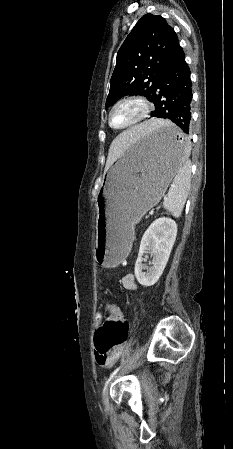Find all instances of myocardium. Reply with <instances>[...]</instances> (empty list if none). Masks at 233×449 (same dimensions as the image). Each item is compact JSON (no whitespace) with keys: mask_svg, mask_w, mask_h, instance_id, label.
Segmentation results:
<instances>
[{"mask_svg":"<svg viewBox=\"0 0 233 449\" xmlns=\"http://www.w3.org/2000/svg\"><path fill=\"white\" fill-rule=\"evenodd\" d=\"M127 102H137V103H139L141 105V108H142L140 115L134 121H132L131 123H129L127 125H124V126H121V127L114 126L112 124V121H111L112 113L114 112V110L118 106H120L121 104L127 103ZM151 109H152V105H151L150 101L147 98L143 97V96H140V95H129V96L122 97L119 100H117L111 106V108L109 110V113H108L109 126L112 129H115V130H125V129H128V128H132V127L140 124L141 122H143L148 117Z\"/></svg>","mask_w":233,"mask_h":449,"instance_id":"obj_1","label":"myocardium"}]
</instances>
